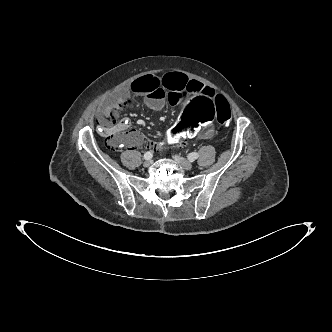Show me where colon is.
Instances as JSON below:
<instances>
[{"instance_id": "colon-1", "label": "colon", "mask_w": 332, "mask_h": 332, "mask_svg": "<svg viewBox=\"0 0 332 332\" xmlns=\"http://www.w3.org/2000/svg\"><path fill=\"white\" fill-rule=\"evenodd\" d=\"M130 105V100L125 98L110 107L103 116V124L107 131L106 145L108 149L115 151L122 144V137L117 129L118 118L123 110ZM216 117L223 126L231 122V110L228 102L221 96L211 101L202 95H195L185 100L179 109V114L174 119L173 125L166 136L154 145H162L166 141L176 143L179 139H190L201 135Z\"/></svg>"}]
</instances>
